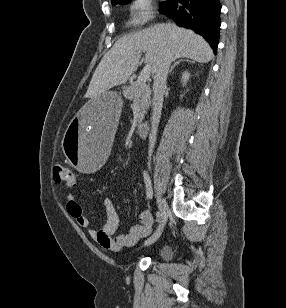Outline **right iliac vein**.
<instances>
[{"label": "right iliac vein", "mask_w": 286, "mask_h": 308, "mask_svg": "<svg viewBox=\"0 0 286 308\" xmlns=\"http://www.w3.org/2000/svg\"><path fill=\"white\" fill-rule=\"evenodd\" d=\"M157 204L161 212V223L158 230L145 241V246L151 245L159 239L168 219V205L166 202H164L160 197H157Z\"/></svg>", "instance_id": "63e3f726"}]
</instances>
